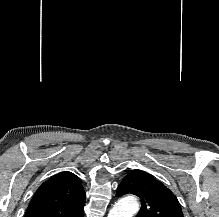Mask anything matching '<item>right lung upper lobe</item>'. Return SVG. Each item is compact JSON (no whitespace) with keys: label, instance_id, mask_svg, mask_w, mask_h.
Masks as SVG:
<instances>
[{"label":"right lung upper lobe","instance_id":"1","mask_svg":"<svg viewBox=\"0 0 219 217\" xmlns=\"http://www.w3.org/2000/svg\"><path fill=\"white\" fill-rule=\"evenodd\" d=\"M85 198L78 177L64 171L37 189L25 217H83Z\"/></svg>","mask_w":219,"mask_h":217}]
</instances>
